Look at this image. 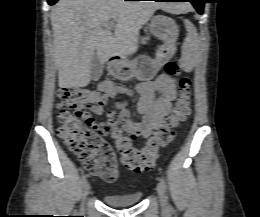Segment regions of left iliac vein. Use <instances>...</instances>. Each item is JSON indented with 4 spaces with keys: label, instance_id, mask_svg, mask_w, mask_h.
Wrapping results in <instances>:
<instances>
[{
    "label": "left iliac vein",
    "instance_id": "left-iliac-vein-1",
    "mask_svg": "<svg viewBox=\"0 0 260 217\" xmlns=\"http://www.w3.org/2000/svg\"><path fill=\"white\" fill-rule=\"evenodd\" d=\"M157 192H158V197H159V201H160L161 207L163 209H166L167 208V203H166V199H165V190H164V188H163L161 183H159L157 185Z\"/></svg>",
    "mask_w": 260,
    "mask_h": 217
}]
</instances>
